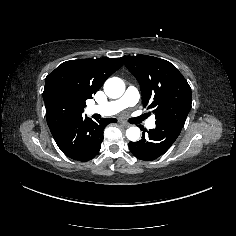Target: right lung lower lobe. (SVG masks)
<instances>
[{"label": "right lung lower lobe", "instance_id": "right-lung-lower-lobe-1", "mask_svg": "<svg viewBox=\"0 0 236 236\" xmlns=\"http://www.w3.org/2000/svg\"><path fill=\"white\" fill-rule=\"evenodd\" d=\"M111 122L117 120L104 118L94 122L81 114L48 126L56 144L67 157L86 162L98 154L104 138L103 130Z\"/></svg>", "mask_w": 236, "mask_h": 236}]
</instances>
